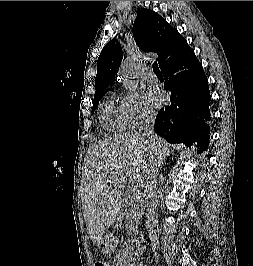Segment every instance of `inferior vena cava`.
Returning a JSON list of instances; mask_svg holds the SVG:
<instances>
[{
	"instance_id": "602c4592",
	"label": "inferior vena cava",
	"mask_w": 253,
	"mask_h": 266,
	"mask_svg": "<svg viewBox=\"0 0 253 266\" xmlns=\"http://www.w3.org/2000/svg\"><path fill=\"white\" fill-rule=\"evenodd\" d=\"M155 121V114L148 113L143 116L142 125L140 127L139 133L145 137L150 143L153 141V125ZM152 147V146H151ZM155 192H156V181H155V171L154 175L148 174L145 178V190L142 193L141 202L146 203V216L147 224L150 226V235L154 237L155 226H156V211H155Z\"/></svg>"
}]
</instances>
